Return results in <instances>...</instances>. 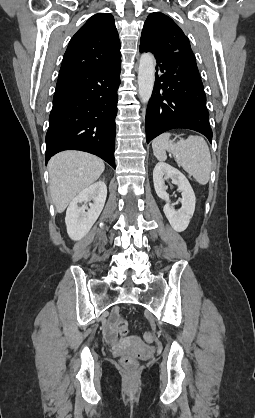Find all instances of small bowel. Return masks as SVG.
I'll return each mask as SVG.
<instances>
[{
  "mask_svg": "<svg viewBox=\"0 0 255 418\" xmlns=\"http://www.w3.org/2000/svg\"><path fill=\"white\" fill-rule=\"evenodd\" d=\"M106 338L108 341H114L116 339V330L114 328L113 323H110L107 327H106Z\"/></svg>",
  "mask_w": 255,
  "mask_h": 418,
  "instance_id": "small-bowel-1",
  "label": "small bowel"
}]
</instances>
